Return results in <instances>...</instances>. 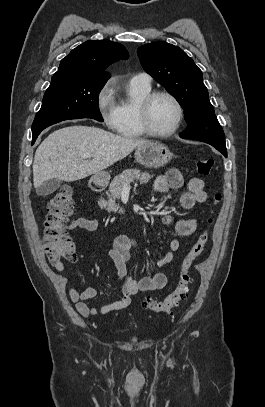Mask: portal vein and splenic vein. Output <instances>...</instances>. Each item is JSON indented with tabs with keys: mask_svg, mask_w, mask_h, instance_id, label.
<instances>
[{
	"mask_svg": "<svg viewBox=\"0 0 265 407\" xmlns=\"http://www.w3.org/2000/svg\"><path fill=\"white\" fill-rule=\"evenodd\" d=\"M83 158H85V159H90V158H91V155H84ZM124 188H125V189H130V185H127V184H126V185H124Z\"/></svg>",
	"mask_w": 265,
	"mask_h": 407,
	"instance_id": "obj_1",
	"label": "portal vein and splenic vein"
}]
</instances>
